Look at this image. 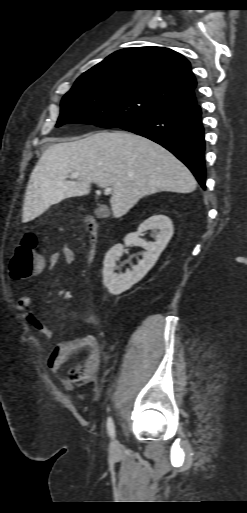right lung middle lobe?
I'll return each instance as SVG.
<instances>
[{
    "label": "right lung middle lobe",
    "instance_id": "obj_1",
    "mask_svg": "<svg viewBox=\"0 0 247 513\" xmlns=\"http://www.w3.org/2000/svg\"><path fill=\"white\" fill-rule=\"evenodd\" d=\"M168 107L152 98L118 88H81L74 84L61 101L56 127L66 123L122 127Z\"/></svg>",
    "mask_w": 247,
    "mask_h": 513
}]
</instances>
